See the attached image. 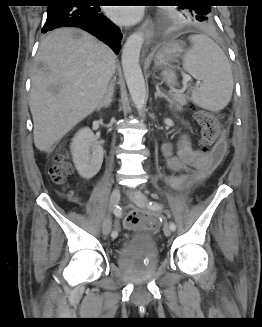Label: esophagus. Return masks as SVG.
<instances>
[{
    "label": "esophagus",
    "instance_id": "esophagus-1",
    "mask_svg": "<svg viewBox=\"0 0 262 327\" xmlns=\"http://www.w3.org/2000/svg\"><path fill=\"white\" fill-rule=\"evenodd\" d=\"M140 30L144 32L146 37V42H148L154 31V23L152 19H146L140 26Z\"/></svg>",
    "mask_w": 262,
    "mask_h": 327
}]
</instances>
